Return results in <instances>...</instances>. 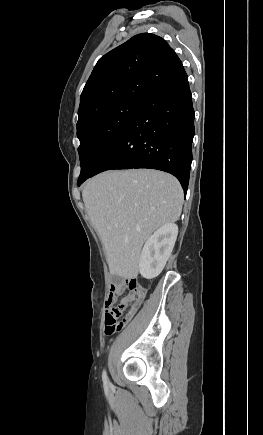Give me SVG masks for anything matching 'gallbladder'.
<instances>
[{
  "label": "gallbladder",
  "instance_id": "bac80fb5",
  "mask_svg": "<svg viewBox=\"0 0 263 435\" xmlns=\"http://www.w3.org/2000/svg\"><path fill=\"white\" fill-rule=\"evenodd\" d=\"M121 281V279L118 276L113 277V282L118 284Z\"/></svg>",
  "mask_w": 263,
  "mask_h": 435
}]
</instances>
